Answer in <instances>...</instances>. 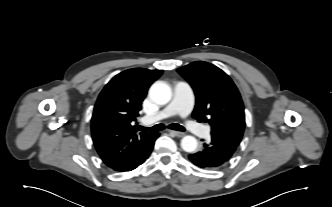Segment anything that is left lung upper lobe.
<instances>
[{
  "label": "left lung upper lobe",
  "mask_w": 332,
  "mask_h": 207,
  "mask_svg": "<svg viewBox=\"0 0 332 207\" xmlns=\"http://www.w3.org/2000/svg\"><path fill=\"white\" fill-rule=\"evenodd\" d=\"M192 86V116L211 125V136L237 147L245 128L244 106L231 78L213 64L197 61L177 69Z\"/></svg>",
  "instance_id": "obj_1"
}]
</instances>
